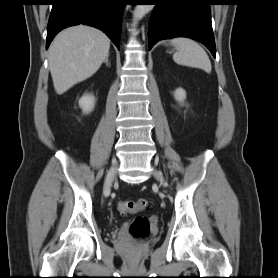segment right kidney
Here are the masks:
<instances>
[{
	"label": "right kidney",
	"mask_w": 278,
	"mask_h": 278,
	"mask_svg": "<svg viewBox=\"0 0 278 278\" xmlns=\"http://www.w3.org/2000/svg\"><path fill=\"white\" fill-rule=\"evenodd\" d=\"M95 104V98L91 94L83 95L79 100V106L84 113H89L93 110Z\"/></svg>",
	"instance_id": "obj_1"
}]
</instances>
